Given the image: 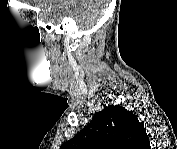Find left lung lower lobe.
Segmentation results:
<instances>
[{
  "label": "left lung lower lobe",
  "instance_id": "left-lung-lower-lobe-1",
  "mask_svg": "<svg viewBox=\"0 0 177 149\" xmlns=\"http://www.w3.org/2000/svg\"><path fill=\"white\" fill-rule=\"evenodd\" d=\"M141 147L142 149H150L148 135L143 138Z\"/></svg>",
  "mask_w": 177,
  "mask_h": 149
}]
</instances>
